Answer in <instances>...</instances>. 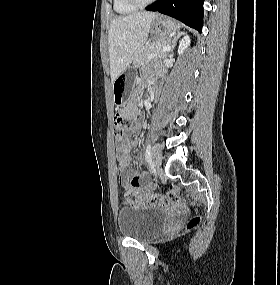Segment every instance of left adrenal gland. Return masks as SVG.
Wrapping results in <instances>:
<instances>
[{"label":"left adrenal gland","mask_w":280,"mask_h":285,"mask_svg":"<svg viewBox=\"0 0 280 285\" xmlns=\"http://www.w3.org/2000/svg\"><path fill=\"white\" fill-rule=\"evenodd\" d=\"M184 34V32L178 31L175 36H173V39L171 41V53H173V50L176 46V41Z\"/></svg>","instance_id":"obj_1"}]
</instances>
